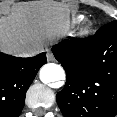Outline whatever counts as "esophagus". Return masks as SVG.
I'll return each mask as SVG.
<instances>
[{"mask_svg":"<svg viewBox=\"0 0 117 117\" xmlns=\"http://www.w3.org/2000/svg\"><path fill=\"white\" fill-rule=\"evenodd\" d=\"M46 56H47V61H49V62L55 61V57L51 52H47Z\"/></svg>","mask_w":117,"mask_h":117,"instance_id":"34e87169","label":"esophagus"}]
</instances>
